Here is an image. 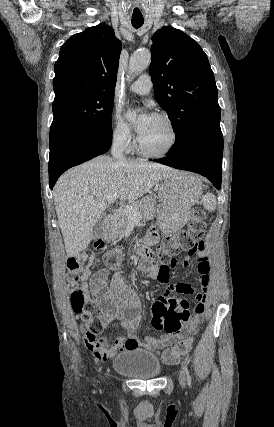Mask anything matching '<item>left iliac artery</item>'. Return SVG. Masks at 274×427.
Wrapping results in <instances>:
<instances>
[{"label":"left iliac artery","instance_id":"44dca946","mask_svg":"<svg viewBox=\"0 0 274 427\" xmlns=\"http://www.w3.org/2000/svg\"><path fill=\"white\" fill-rule=\"evenodd\" d=\"M183 369H184V372L186 373V375H187V382H188V385L189 386H191V376H190V374H189V370H188V367H187V365L186 364H184L183 365Z\"/></svg>","mask_w":274,"mask_h":427}]
</instances>
